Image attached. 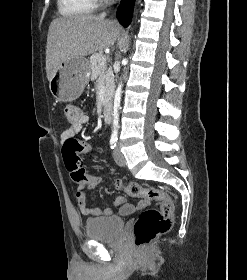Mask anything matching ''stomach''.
Instances as JSON below:
<instances>
[{"label": "stomach", "mask_w": 247, "mask_h": 280, "mask_svg": "<svg viewBox=\"0 0 247 280\" xmlns=\"http://www.w3.org/2000/svg\"><path fill=\"white\" fill-rule=\"evenodd\" d=\"M89 61L84 57H73L63 62L49 81L53 96L62 102L76 100L83 92L90 77Z\"/></svg>", "instance_id": "0dacf381"}]
</instances>
